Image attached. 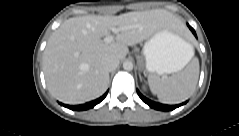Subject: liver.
Returning <instances> with one entry per match:
<instances>
[{"label":"liver","mask_w":239,"mask_h":136,"mask_svg":"<svg viewBox=\"0 0 239 136\" xmlns=\"http://www.w3.org/2000/svg\"><path fill=\"white\" fill-rule=\"evenodd\" d=\"M115 41L105 43L112 28ZM180 29L182 22L163 9L135 11L119 16H81L65 20L50 36L43 54V71L50 93L67 104H82L104 94L109 72L106 58L123 60L128 46L149 39L163 28Z\"/></svg>","instance_id":"6515ba94"}]
</instances>
